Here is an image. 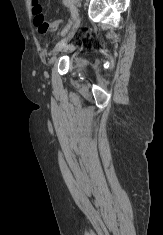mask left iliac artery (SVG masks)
Returning <instances> with one entry per match:
<instances>
[{"mask_svg":"<svg viewBox=\"0 0 163 235\" xmlns=\"http://www.w3.org/2000/svg\"><path fill=\"white\" fill-rule=\"evenodd\" d=\"M77 15H78V12H77L76 7H75V6H72V7H71V21H69V23H68V24L65 26V28L62 30L61 35H64V34L67 32V30L69 29V27H70L71 24H72V21H74V20L76 19Z\"/></svg>","mask_w":163,"mask_h":235,"instance_id":"1","label":"left iliac artery"}]
</instances>
